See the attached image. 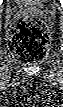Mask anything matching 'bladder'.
I'll return each instance as SVG.
<instances>
[{"mask_svg":"<svg viewBox=\"0 0 63 107\" xmlns=\"http://www.w3.org/2000/svg\"><path fill=\"white\" fill-rule=\"evenodd\" d=\"M17 4H40L42 0H15Z\"/></svg>","mask_w":63,"mask_h":107,"instance_id":"obj_1","label":"bladder"}]
</instances>
